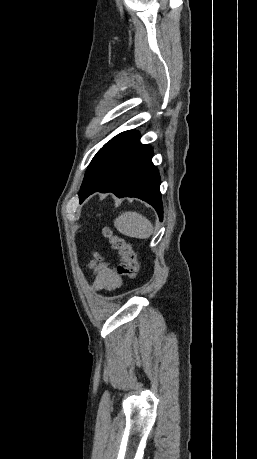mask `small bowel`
Instances as JSON below:
<instances>
[{
	"instance_id": "small-bowel-1",
	"label": "small bowel",
	"mask_w": 257,
	"mask_h": 459,
	"mask_svg": "<svg viewBox=\"0 0 257 459\" xmlns=\"http://www.w3.org/2000/svg\"><path fill=\"white\" fill-rule=\"evenodd\" d=\"M93 271L92 288L96 291H114L121 287V278L117 275L114 268L106 262L96 257V260L90 263Z\"/></svg>"
}]
</instances>
